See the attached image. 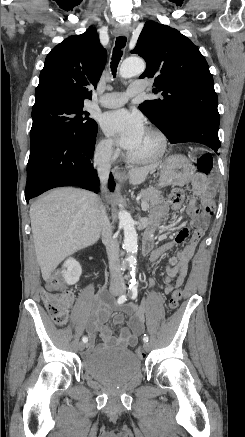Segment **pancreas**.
<instances>
[{"label":"pancreas","instance_id":"1","mask_svg":"<svg viewBox=\"0 0 245 437\" xmlns=\"http://www.w3.org/2000/svg\"><path fill=\"white\" fill-rule=\"evenodd\" d=\"M142 198L141 202H145L150 208L155 207L162 199V191L156 188H147L139 194Z\"/></svg>","mask_w":245,"mask_h":437}]
</instances>
